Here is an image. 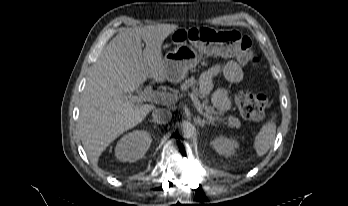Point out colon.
<instances>
[{
    "label": "colon",
    "instance_id": "colon-1",
    "mask_svg": "<svg viewBox=\"0 0 348 206\" xmlns=\"http://www.w3.org/2000/svg\"><path fill=\"white\" fill-rule=\"evenodd\" d=\"M176 40L203 43L210 52L236 57L253 67L259 62L258 58L252 53L250 38L234 30L193 27L178 31ZM235 100L243 117L253 121L263 119L267 108V98L264 95L240 91L237 93Z\"/></svg>",
    "mask_w": 348,
    "mask_h": 206
}]
</instances>
